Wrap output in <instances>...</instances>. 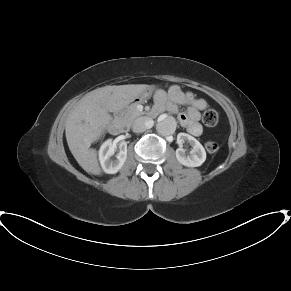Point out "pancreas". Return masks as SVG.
<instances>
[{"mask_svg":"<svg viewBox=\"0 0 291 291\" xmlns=\"http://www.w3.org/2000/svg\"><path fill=\"white\" fill-rule=\"evenodd\" d=\"M145 112L140 111L137 108L136 103H132L129 106H127L125 109H123L120 113L121 119L125 123H132L137 117L144 115Z\"/></svg>","mask_w":291,"mask_h":291,"instance_id":"obj_1","label":"pancreas"}]
</instances>
